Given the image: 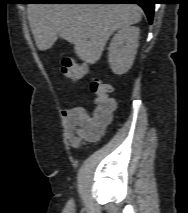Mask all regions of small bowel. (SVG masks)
Masks as SVG:
<instances>
[{
	"label": "small bowel",
	"mask_w": 188,
	"mask_h": 213,
	"mask_svg": "<svg viewBox=\"0 0 188 213\" xmlns=\"http://www.w3.org/2000/svg\"><path fill=\"white\" fill-rule=\"evenodd\" d=\"M63 115L68 125V131L70 132L72 129L77 131L76 134L69 135L71 145L74 147H77L82 140H97L109 124H95L94 118H91L83 107L65 109Z\"/></svg>",
	"instance_id": "small-bowel-1"
}]
</instances>
